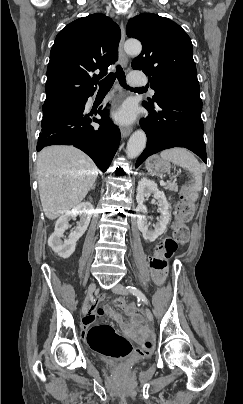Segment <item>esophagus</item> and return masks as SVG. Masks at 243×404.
Returning a JSON list of instances; mask_svg holds the SVG:
<instances>
[{"label": "esophagus", "mask_w": 243, "mask_h": 404, "mask_svg": "<svg viewBox=\"0 0 243 404\" xmlns=\"http://www.w3.org/2000/svg\"><path fill=\"white\" fill-rule=\"evenodd\" d=\"M120 30H121V40L119 43V57H120V62L123 66H126L128 64V58L124 52V43H125V27L123 20H121L120 23ZM132 132V129L130 127H122L121 128V136L123 138L128 137Z\"/></svg>", "instance_id": "esophagus-1"}]
</instances>
